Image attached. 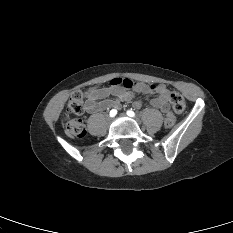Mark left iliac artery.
Masks as SVG:
<instances>
[{"instance_id": "obj_1", "label": "left iliac artery", "mask_w": 233, "mask_h": 233, "mask_svg": "<svg viewBox=\"0 0 233 233\" xmlns=\"http://www.w3.org/2000/svg\"><path fill=\"white\" fill-rule=\"evenodd\" d=\"M127 115L130 116V117H134L135 113L132 110H128Z\"/></svg>"}]
</instances>
